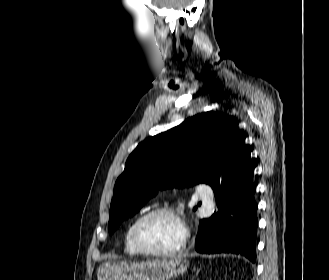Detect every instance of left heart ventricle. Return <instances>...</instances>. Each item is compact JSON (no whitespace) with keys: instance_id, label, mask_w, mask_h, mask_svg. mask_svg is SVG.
Here are the masks:
<instances>
[{"instance_id":"left-heart-ventricle-1","label":"left heart ventricle","mask_w":329,"mask_h":280,"mask_svg":"<svg viewBox=\"0 0 329 280\" xmlns=\"http://www.w3.org/2000/svg\"><path fill=\"white\" fill-rule=\"evenodd\" d=\"M140 240L148 248L168 250L179 244L181 228L170 215L159 214L149 218L140 229Z\"/></svg>"}]
</instances>
